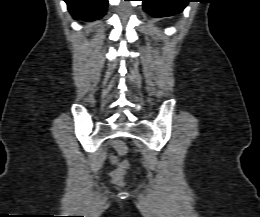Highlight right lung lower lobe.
Here are the masks:
<instances>
[{"label": "right lung lower lobe", "mask_w": 260, "mask_h": 217, "mask_svg": "<svg viewBox=\"0 0 260 217\" xmlns=\"http://www.w3.org/2000/svg\"><path fill=\"white\" fill-rule=\"evenodd\" d=\"M77 20L94 21L106 14L108 0H64Z\"/></svg>", "instance_id": "right-lung-lower-lobe-1"}]
</instances>
